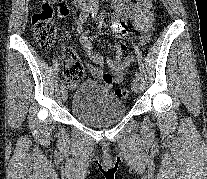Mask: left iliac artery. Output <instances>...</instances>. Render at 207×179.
I'll list each match as a JSON object with an SVG mask.
<instances>
[{
    "label": "left iliac artery",
    "mask_w": 207,
    "mask_h": 179,
    "mask_svg": "<svg viewBox=\"0 0 207 179\" xmlns=\"http://www.w3.org/2000/svg\"><path fill=\"white\" fill-rule=\"evenodd\" d=\"M98 10H99V7L97 4L93 5L92 9H91V13H92V17L93 18H96L97 17V14H98ZM135 77L140 79V74L138 71L135 72Z\"/></svg>",
    "instance_id": "1"
}]
</instances>
